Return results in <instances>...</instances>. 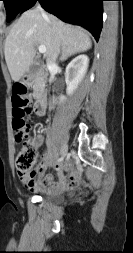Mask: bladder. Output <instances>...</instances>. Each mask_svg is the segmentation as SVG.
<instances>
[{
    "mask_svg": "<svg viewBox=\"0 0 133 253\" xmlns=\"http://www.w3.org/2000/svg\"><path fill=\"white\" fill-rule=\"evenodd\" d=\"M44 199L53 203H61L63 202V197L61 195L56 194H45L43 195Z\"/></svg>",
    "mask_w": 133,
    "mask_h": 253,
    "instance_id": "bladder-1",
    "label": "bladder"
}]
</instances>
